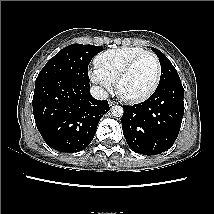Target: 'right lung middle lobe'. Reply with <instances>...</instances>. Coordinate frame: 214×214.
<instances>
[{"mask_svg":"<svg viewBox=\"0 0 214 214\" xmlns=\"http://www.w3.org/2000/svg\"><path fill=\"white\" fill-rule=\"evenodd\" d=\"M102 50L100 46L71 44L46 63L36 83L52 77H65L89 83L88 65Z\"/></svg>","mask_w":214,"mask_h":214,"instance_id":"1","label":"right lung middle lobe"}]
</instances>
